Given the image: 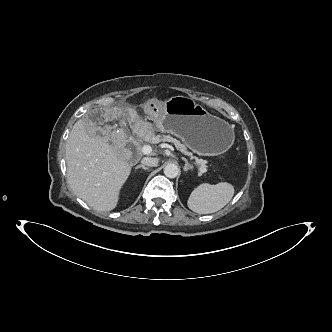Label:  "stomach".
<instances>
[{
  "instance_id": "obj_1",
  "label": "stomach",
  "mask_w": 332,
  "mask_h": 332,
  "mask_svg": "<svg viewBox=\"0 0 332 332\" xmlns=\"http://www.w3.org/2000/svg\"><path fill=\"white\" fill-rule=\"evenodd\" d=\"M155 126L180 138L193 151L216 156L234 142V129L225 120L208 113L201 105L184 96H174L162 104Z\"/></svg>"
}]
</instances>
